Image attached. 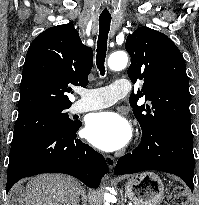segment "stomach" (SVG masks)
<instances>
[{
    "mask_svg": "<svg viewBox=\"0 0 199 205\" xmlns=\"http://www.w3.org/2000/svg\"><path fill=\"white\" fill-rule=\"evenodd\" d=\"M125 194L134 205H157L163 198L164 185L154 172H142L127 177Z\"/></svg>",
    "mask_w": 199,
    "mask_h": 205,
    "instance_id": "obj_1",
    "label": "stomach"
}]
</instances>
